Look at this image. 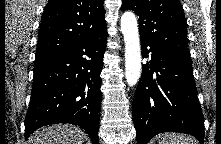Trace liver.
<instances>
[{
  "label": "liver",
  "mask_w": 221,
  "mask_h": 144,
  "mask_svg": "<svg viewBox=\"0 0 221 144\" xmlns=\"http://www.w3.org/2000/svg\"><path fill=\"white\" fill-rule=\"evenodd\" d=\"M28 144H84V132L69 124L51 125L36 130Z\"/></svg>",
  "instance_id": "1"
}]
</instances>
